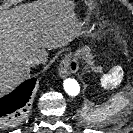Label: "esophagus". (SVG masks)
<instances>
[{
    "label": "esophagus",
    "instance_id": "1",
    "mask_svg": "<svg viewBox=\"0 0 133 133\" xmlns=\"http://www.w3.org/2000/svg\"><path fill=\"white\" fill-rule=\"evenodd\" d=\"M78 70V64L71 60L63 61L59 68V75L61 78H65Z\"/></svg>",
    "mask_w": 133,
    "mask_h": 133
}]
</instances>
